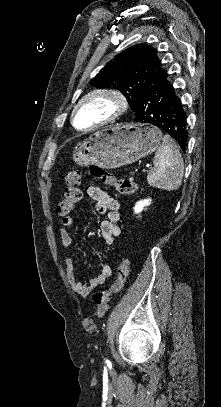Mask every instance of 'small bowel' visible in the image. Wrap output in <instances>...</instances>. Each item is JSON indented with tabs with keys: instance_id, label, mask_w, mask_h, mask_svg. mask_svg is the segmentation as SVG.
Returning <instances> with one entry per match:
<instances>
[{
	"instance_id": "obj_1",
	"label": "small bowel",
	"mask_w": 221,
	"mask_h": 407,
	"mask_svg": "<svg viewBox=\"0 0 221 407\" xmlns=\"http://www.w3.org/2000/svg\"><path fill=\"white\" fill-rule=\"evenodd\" d=\"M87 193L94 203L95 210L98 213L106 214V219L100 223V235L106 244L111 245L120 235V228L118 227L120 203L98 186H90L87 189ZM72 224V217L65 216L61 218L62 226L59 229V236L61 244L66 250H70L73 244V239L67 230ZM65 269L72 290L80 297L88 296L98 286L104 284L112 274L111 267L108 264H104L96 277L88 283H82L75 275V263L70 255L65 258Z\"/></svg>"
}]
</instances>
